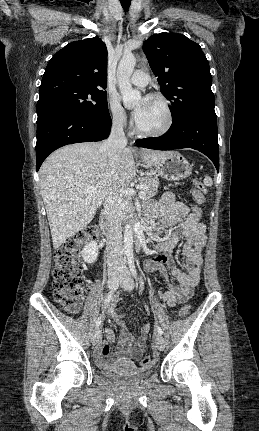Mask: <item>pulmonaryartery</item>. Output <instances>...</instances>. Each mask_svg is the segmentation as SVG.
<instances>
[{"mask_svg": "<svg viewBox=\"0 0 259 431\" xmlns=\"http://www.w3.org/2000/svg\"><path fill=\"white\" fill-rule=\"evenodd\" d=\"M148 74L142 70H137L131 77V83L137 87H144L148 84Z\"/></svg>", "mask_w": 259, "mask_h": 431, "instance_id": "pulmonary-artery-1", "label": "pulmonary artery"}]
</instances>
